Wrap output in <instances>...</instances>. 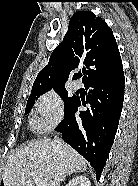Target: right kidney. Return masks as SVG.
<instances>
[{
    "label": "right kidney",
    "instance_id": "ca27d5eb",
    "mask_svg": "<svg viewBox=\"0 0 138 186\" xmlns=\"http://www.w3.org/2000/svg\"><path fill=\"white\" fill-rule=\"evenodd\" d=\"M66 186H91V183L86 176L80 175L70 180Z\"/></svg>",
    "mask_w": 138,
    "mask_h": 186
}]
</instances>
